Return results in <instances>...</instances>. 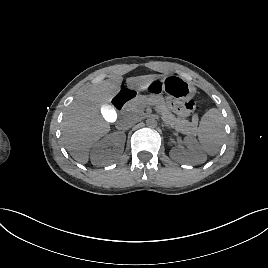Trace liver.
<instances>
[{
  "label": "liver",
  "instance_id": "obj_1",
  "mask_svg": "<svg viewBox=\"0 0 268 268\" xmlns=\"http://www.w3.org/2000/svg\"><path fill=\"white\" fill-rule=\"evenodd\" d=\"M157 75H142L126 79L130 87L143 86L158 78ZM123 77L114 75L77 93L69 105L62 122L63 141L70 155L86 164L92 145L110 131L108 117L102 116L100 108L106 106L119 92ZM106 117V118H105Z\"/></svg>",
  "mask_w": 268,
  "mask_h": 268
}]
</instances>
